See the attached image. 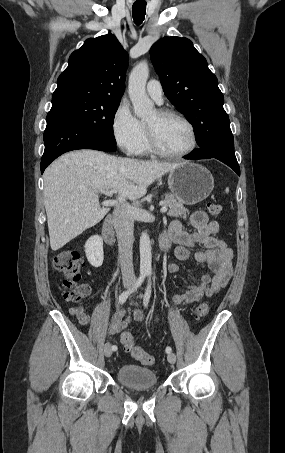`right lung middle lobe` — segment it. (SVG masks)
<instances>
[{"instance_id": "1", "label": "right lung middle lobe", "mask_w": 285, "mask_h": 453, "mask_svg": "<svg viewBox=\"0 0 285 453\" xmlns=\"http://www.w3.org/2000/svg\"><path fill=\"white\" fill-rule=\"evenodd\" d=\"M120 99L101 96H67L52 100V109L66 112L100 139L116 145L114 115Z\"/></svg>"}]
</instances>
